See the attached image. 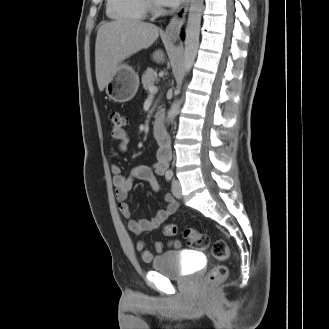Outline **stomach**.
<instances>
[{
	"label": "stomach",
	"instance_id": "0dacf381",
	"mask_svg": "<svg viewBox=\"0 0 329 329\" xmlns=\"http://www.w3.org/2000/svg\"><path fill=\"white\" fill-rule=\"evenodd\" d=\"M139 87V77L132 67L121 64L106 85V94L114 102L124 103L131 100Z\"/></svg>",
	"mask_w": 329,
	"mask_h": 329
}]
</instances>
